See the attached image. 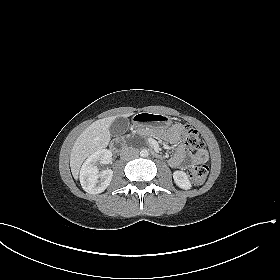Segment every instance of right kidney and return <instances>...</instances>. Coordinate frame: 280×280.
I'll return each instance as SVG.
<instances>
[{"label": "right kidney", "mask_w": 280, "mask_h": 280, "mask_svg": "<svg viewBox=\"0 0 280 280\" xmlns=\"http://www.w3.org/2000/svg\"><path fill=\"white\" fill-rule=\"evenodd\" d=\"M111 157L112 152L110 150L100 149L91 154L83 163L80 171V183L87 193L99 194L109 186L113 171L106 169L99 172L97 165L108 163Z\"/></svg>", "instance_id": "right-kidney-1"}]
</instances>
